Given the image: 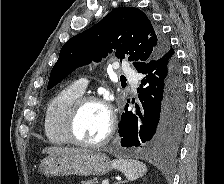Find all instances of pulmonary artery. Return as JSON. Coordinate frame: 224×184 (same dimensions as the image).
Masks as SVG:
<instances>
[{
    "label": "pulmonary artery",
    "instance_id": "1",
    "mask_svg": "<svg viewBox=\"0 0 224 184\" xmlns=\"http://www.w3.org/2000/svg\"><path fill=\"white\" fill-rule=\"evenodd\" d=\"M121 72L123 75L126 77H133L134 76V71L128 66V65H123ZM75 86L80 90L84 91L86 86H87V81L85 79H80L76 82ZM134 89H136V84H133Z\"/></svg>",
    "mask_w": 224,
    "mask_h": 184
}]
</instances>
